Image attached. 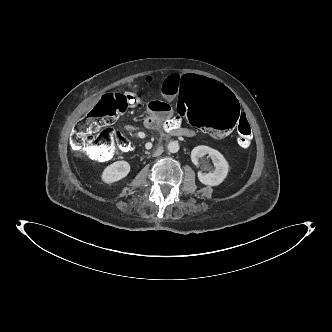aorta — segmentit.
<instances>
[{"label":"aorta","mask_w":332,"mask_h":332,"mask_svg":"<svg viewBox=\"0 0 332 332\" xmlns=\"http://www.w3.org/2000/svg\"><path fill=\"white\" fill-rule=\"evenodd\" d=\"M168 150L171 153H177L179 151V144L177 141H172L168 144Z\"/></svg>","instance_id":"762f6f07"}]
</instances>
